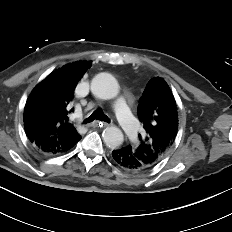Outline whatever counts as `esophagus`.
<instances>
[{"instance_id":"obj_1","label":"esophagus","mask_w":232,"mask_h":232,"mask_svg":"<svg viewBox=\"0 0 232 232\" xmlns=\"http://www.w3.org/2000/svg\"><path fill=\"white\" fill-rule=\"evenodd\" d=\"M111 124L109 123H106V122H98V121H95V122H92L89 126L91 127H108L110 126Z\"/></svg>"}]
</instances>
